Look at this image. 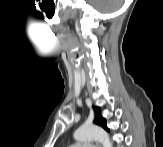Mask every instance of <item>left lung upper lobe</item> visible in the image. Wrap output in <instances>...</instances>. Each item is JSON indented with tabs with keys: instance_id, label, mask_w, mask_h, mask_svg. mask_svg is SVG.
<instances>
[{
	"instance_id": "obj_1",
	"label": "left lung upper lobe",
	"mask_w": 163,
	"mask_h": 147,
	"mask_svg": "<svg viewBox=\"0 0 163 147\" xmlns=\"http://www.w3.org/2000/svg\"><path fill=\"white\" fill-rule=\"evenodd\" d=\"M95 111V120L94 123L103 127L105 130L109 131L106 126V119L101 116V110L98 107H93Z\"/></svg>"
}]
</instances>
